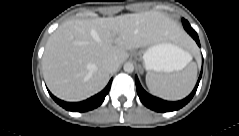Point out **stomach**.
<instances>
[{
    "label": "stomach",
    "instance_id": "stomach-1",
    "mask_svg": "<svg viewBox=\"0 0 239 136\" xmlns=\"http://www.w3.org/2000/svg\"><path fill=\"white\" fill-rule=\"evenodd\" d=\"M189 53L169 40L160 41L141 51L137 58L143 60L149 72L170 73L182 70Z\"/></svg>",
    "mask_w": 239,
    "mask_h": 136
}]
</instances>
